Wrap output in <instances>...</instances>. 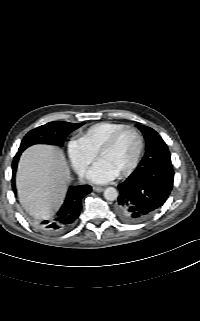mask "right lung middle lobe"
<instances>
[{"mask_svg": "<svg viewBox=\"0 0 200 321\" xmlns=\"http://www.w3.org/2000/svg\"><path fill=\"white\" fill-rule=\"evenodd\" d=\"M83 124L54 121L37 127L26 134L17 153L21 154L26 148L34 144H50L62 147L66 136Z\"/></svg>", "mask_w": 200, "mask_h": 321, "instance_id": "1", "label": "right lung middle lobe"}]
</instances>
